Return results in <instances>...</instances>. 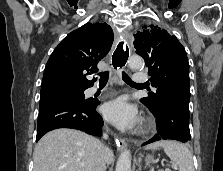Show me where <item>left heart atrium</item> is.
Wrapping results in <instances>:
<instances>
[{
	"instance_id": "left-heart-atrium-1",
	"label": "left heart atrium",
	"mask_w": 223,
	"mask_h": 171,
	"mask_svg": "<svg viewBox=\"0 0 223 171\" xmlns=\"http://www.w3.org/2000/svg\"><path fill=\"white\" fill-rule=\"evenodd\" d=\"M104 117L121 129H131L137 123V110L125 98L119 97L102 107Z\"/></svg>"
}]
</instances>
